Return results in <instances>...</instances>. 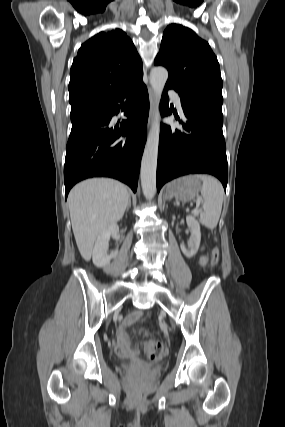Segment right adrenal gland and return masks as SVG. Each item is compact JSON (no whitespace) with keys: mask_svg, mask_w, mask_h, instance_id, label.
I'll return each mask as SVG.
<instances>
[{"mask_svg":"<svg viewBox=\"0 0 285 427\" xmlns=\"http://www.w3.org/2000/svg\"><path fill=\"white\" fill-rule=\"evenodd\" d=\"M131 207V197L129 196L128 204H127V210Z\"/></svg>","mask_w":285,"mask_h":427,"instance_id":"1","label":"right adrenal gland"}]
</instances>
